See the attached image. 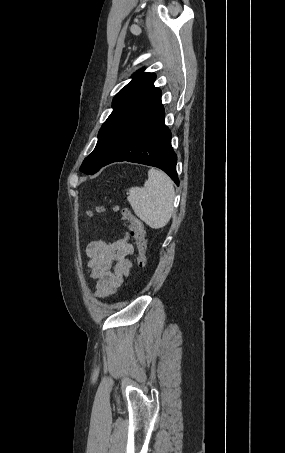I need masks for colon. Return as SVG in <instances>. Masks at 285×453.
<instances>
[{
  "instance_id": "1",
  "label": "colon",
  "mask_w": 285,
  "mask_h": 453,
  "mask_svg": "<svg viewBox=\"0 0 285 453\" xmlns=\"http://www.w3.org/2000/svg\"><path fill=\"white\" fill-rule=\"evenodd\" d=\"M105 209L99 207L96 211L102 212ZM113 211L121 214L122 218L130 223L131 233L136 241L138 255L136 263L139 268H144L147 264V232L144 223L137 217H135L129 208L113 207ZM92 212H89L91 215Z\"/></svg>"
}]
</instances>
